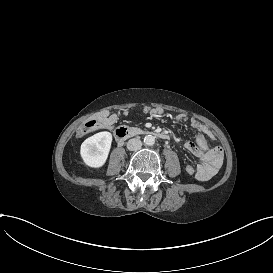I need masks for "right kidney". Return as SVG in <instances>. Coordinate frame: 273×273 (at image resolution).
Segmentation results:
<instances>
[{"label": "right kidney", "instance_id": "1", "mask_svg": "<svg viewBox=\"0 0 273 273\" xmlns=\"http://www.w3.org/2000/svg\"><path fill=\"white\" fill-rule=\"evenodd\" d=\"M112 141V133L108 131H101L87 138L80 147L83 163L93 169L104 167L108 160Z\"/></svg>", "mask_w": 273, "mask_h": 273}]
</instances>
